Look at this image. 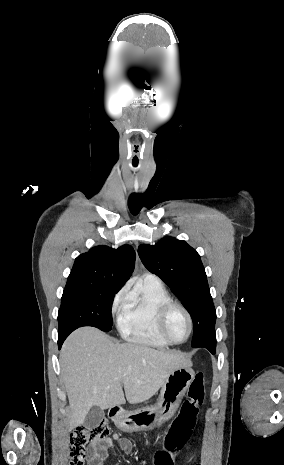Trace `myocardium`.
<instances>
[{"instance_id": "myocardium-1", "label": "myocardium", "mask_w": 284, "mask_h": 465, "mask_svg": "<svg viewBox=\"0 0 284 465\" xmlns=\"http://www.w3.org/2000/svg\"><path fill=\"white\" fill-rule=\"evenodd\" d=\"M175 309H180L184 312V314L186 315L187 317V320H188V326H189V329H188V334L187 336L185 337V339H183L182 341H174L172 340L167 332H166V323H167V320H168V317L169 315L171 314V312ZM193 328H194V322H193V318L190 314V312L187 310V308H185L183 305L181 304H178L176 302H170V303H167L160 311L159 313V316H158V320H157V330H158V333L159 335L162 337V339L164 341H166L168 344L170 345H182L184 343H186L192 333H193Z\"/></svg>"}]
</instances>
